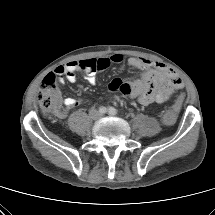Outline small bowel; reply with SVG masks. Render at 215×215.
I'll use <instances>...</instances> for the list:
<instances>
[{
  "mask_svg": "<svg viewBox=\"0 0 215 215\" xmlns=\"http://www.w3.org/2000/svg\"><path fill=\"white\" fill-rule=\"evenodd\" d=\"M123 61L121 54H113L106 58H91L70 61L57 67L52 74L59 78L61 83L67 80L70 83L76 81V73L83 72L89 84L95 85L96 74L107 69L111 64H119ZM129 65L143 71L140 78L125 82L119 78L113 79L109 84V90L120 92L125 96L135 99L141 105H149L153 102H164L177 90L183 87L182 80L160 62L141 57H130ZM80 102L72 97L64 99L66 108L78 106ZM64 113H59L63 116Z\"/></svg>",
  "mask_w": 215,
  "mask_h": 215,
  "instance_id": "small-bowel-1",
  "label": "small bowel"
}]
</instances>
